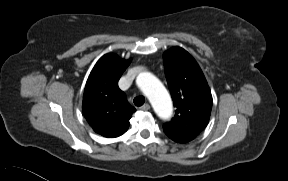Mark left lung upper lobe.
Masks as SVG:
<instances>
[{
  "label": "left lung upper lobe",
  "instance_id": "obj_1",
  "mask_svg": "<svg viewBox=\"0 0 288 181\" xmlns=\"http://www.w3.org/2000/svg\"><path fill=\"white\" fill-rule=\"evenodd\" d=\"M168 86L177 108L166 135L195 138L208 124L212 95L195 59L183 48L173 47L163 55Z\"/></svg>",
  "mask_w": 288,
  "mask_h": 181
}]
</instances>
